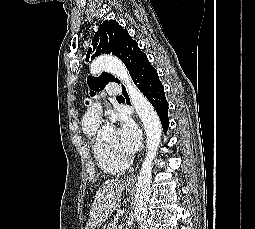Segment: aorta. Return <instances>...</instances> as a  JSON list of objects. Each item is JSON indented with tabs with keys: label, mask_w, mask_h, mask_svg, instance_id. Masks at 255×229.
<instances>
[{
	"label": "aorta",
	"mask_w": 255,
	"mask_h": 229,
	"mask_svg": "<svg viewBox=\"0 0 255 229\" xmlns=\"http://www.w3.org/2000/svg\"><path fill=\"white\" fill-rule=\"evenodd\" d=\"M106 71L121 80L129 95L131 104L141 119L146 136V156L137 176L134 216L137 223L145 221L148 212V203L151 195V180L153 160L157 155L162 135L160 119L153 106L134 85L125 65L116 57L103 56L95 59L90 66V73L94 76ZM105 134L104 132H102Z\"/></svg>",
	"instance_id": "1"
}]
</instances>
